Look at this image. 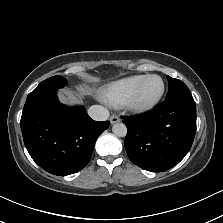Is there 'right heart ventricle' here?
Listing matches in <instances>:
<instances>
[{
    "mask_svg": "<svg viewBox=\"0 0 223 223\" xmlns=\"http://www.w3.org/2000/svg\"><path fill=\"white\" fill-rule=\"evenodd\" d=\"M144 76L142 74L131 75L109 85L103 90L104 101L115 108L123 106Z\"/></svg>",
    "mask_w": 223,
    "mask_h": 223,
    "instance_id": "e07e8e85",
    "label": "right heart ventricle"
}]
</instances>
